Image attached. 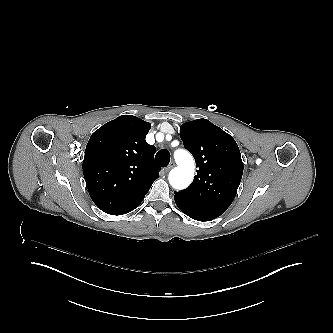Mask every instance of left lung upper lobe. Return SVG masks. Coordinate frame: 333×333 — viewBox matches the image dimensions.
Segmentation results:
<instances>
[{
  "label": "left lung upper lobe",
  "instance_id": "5c2ea615",
  "mask_svg": "<svg viewBox=\"0 0 333 333\" xmlns=\"http://www.w3.org/2000/svg\"><path fill=\"white\" fill-rule=\"evenodd\" d=\"M180 137L193 154L198 170L191 185L175 192V196L204 208L227 210L244 168L237 143L207 119L182 124Z\"/></svg>",
  "mask_w": 333,
  "mask_h": 333
}]
</instances>
